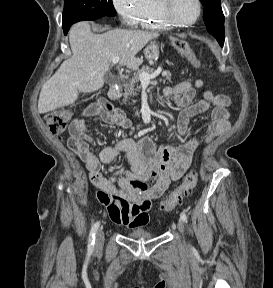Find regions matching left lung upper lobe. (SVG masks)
<instances>
[{
	"instance_id": "5c2ea615",
	"label": "left lung upper lobe",
	"mask_w": 273,
	"mask_h": 288,
	"mask_svg": "<svg viewBox=\"0 0 273 288\" xmlns=\"http://www.w3.org/2000/svg\"><path fill=\"white\" fill-rule=\"evenodd\" d=\"M203 4V20L214 37H224V15L220 0H200Z\"/></svg>"
}]
</instances>
